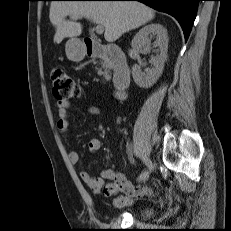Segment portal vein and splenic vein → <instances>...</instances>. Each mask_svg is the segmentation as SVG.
<instances>
[{
    "mask_svg": "<svg viewBox=\"0 0 231 231\" xmlns=\"http://www.w3.org/2000/svg\"><path fill=\"white\" fill-rule=\"evenodd\" d=\"M80 17H82V16H75L74 17V19H78V18H80ZM95 30H96V33L97 34H102L103 33V31H104V27L102 26V25H100V24H98L96 27H95Z\"/></svg>",
    "mask_w": 231,
    "mask_h": 231,
    "instance_id": "18ae733b",
    "label": "portal vein and splenic vein"
}]
</instances>
